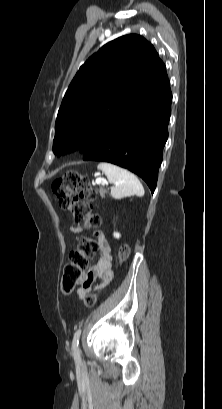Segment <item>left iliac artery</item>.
I'll return each mask as SVG.
<instances>
[{
  "mask_svg": "<svg viewBox=\"0 0 222 409\" xmlns=\"http://www.w3.org/2000/svg\"><path fill=\"white\" fill-rule=\"evenodd\" d=\"M81 335V328H78L74 333L72 341V351L75 359L80 360V349H79V339Z\"/></svg>",
  "mask_w": 222,
  "mask_h": 409,
  "instance_id": "1",
  "label": "left iliac artery"
}]
</instances>
